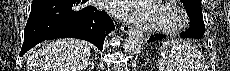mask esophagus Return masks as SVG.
I'll use <instances>...</instances> for the list:
<instances>
[{"label":"esophagus","mask_w":230,"mask_h":71,"mask_svg":"<svg viewBox=\"0 0 230 71\" xmlns=\"http://www.w3.org/2000/svg\"><path fill=\"white\" fill-rule=\"evenodd\" d=\"M131 29H132V26L130 24H128V23H123L122 26H121V30L124 33H128Z\"/></svg>","instance_id":"obj_1"}]
</instances>
